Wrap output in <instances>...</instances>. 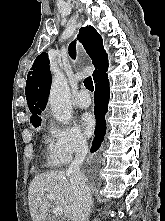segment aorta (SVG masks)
Wrapping results in <instances>:
<instances>
[{
	"label": "aorta",
	"instance_id": "aorta-1",
	"mask_svg": "<svg viewBox=\"0 0 165 221\" xmlns=\"http://www.w3.org/2000/svg\"><path fill=\"white\" fill-rule=\"evenodd\" d=\"M49 103L54 118L61 123L67 124L72 117L73 108L67 80L61 74L55 75L52 80Z\"/></svg>",
	"mask_w": 165,
	"mask_h": 221
}]
</instances>
